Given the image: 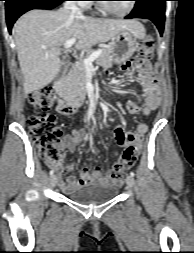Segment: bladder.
Here are the masks:
<instances>
[{"label": "bladder", "mask_w": 194, "mask_h": 253, "mask_svg": "<svg viewBox=\"0 0 194 253\" xmlns=\"http://www.w3.org/2000/svg\"><path fill=\"white\" fill-rule=\"evenodd\" d=\"M118 188L111 184H94L78 188L68 194V198L80 205H100L113 200Z\"/></svg>", "instance_id": "bladder-1"}]
</instances>
